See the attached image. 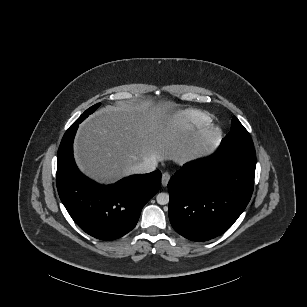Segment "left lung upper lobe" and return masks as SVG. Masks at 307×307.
<instances>
[{
	"mask_svg": "<svg viewBox=\"0 0 307 307\" xmlns=\"http://www.w3.org/2000/svg\"><path fill=\"white\" fill-rule=\"evenodd\" d=\"M222 143H232L249 146L253 145L249 133L236 117L232 118L231 130L228 135L222 140Z\"/></svg>",
	"mask_w": 307,
	"mask_h": 307,
	"instance_id": "left-lung-upper-lobe-1",
	"label": "left lung upper lobe"
}]
</instances>
